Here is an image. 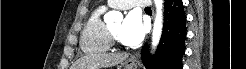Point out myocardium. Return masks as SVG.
<instances>
[{
    "label": "myocardium",
    "mask_w": 246,
    "mask_h": 69,
    "mask_svg": "<svg viewBox=\"0 0 246 69\" xmlns=\"http://www.w3.org/2000/svg\"><path fill=\"white\" fill-rule=\"evenodd\" d=\"M109 35H110V39L111 42L115 43V44H121L119 39L114 35V33L111 31V29L109 30Z\"/></svg>",
    "instance_id": "f54148a6"
}]
</instances>
